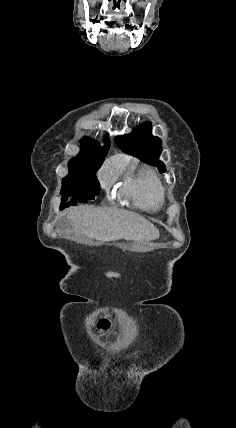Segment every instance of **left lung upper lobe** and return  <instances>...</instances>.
Masks as SVG:
<instances>
[{
	"instance_id": "obj_1",
	"label": "left lung upper lobe",
	"mask_w": 236,
	"mask_h": 428,
	"mask_svg": "<svg viewBox=\"0 0 236 428\" xmlns=\"http://www.w3.org/2000/svg\"><path fill=\"white\" fill-rule=\"evenodd\" d=\"M151 129V123L140 125L138 132L118 136L115 142L124 152L156 166L160 172H165V165L158 160L162 151V142L151 134Z\"/></svg>"
}]
</instances>
